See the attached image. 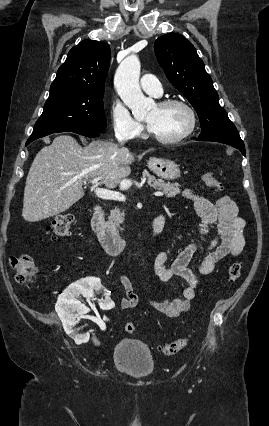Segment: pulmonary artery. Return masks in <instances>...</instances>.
Wrapping results in <instances>:
<instances>
[{
	"label": "pulmonary artery",
	"instance_id": "1",
	"mask_svg": "<svg viewBox=\"0 0 269 426\" xmlns=\"http://www.w3.org/2000/svg\"><path fill=\"white\" fill-rule=\"evenodd\" d=\"M141 88L154 96H160L162 86L159 79L153 74H144L140 79Z\"/></svg>",
	"mask_w": 269,
	"mask_h": 426
}]
</instances>
